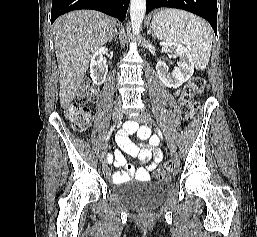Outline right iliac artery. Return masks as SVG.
Listing matches in <instances>:
<instances>
[{
  "label": "right iliac artery",
  "instance_id": "1",
  "mask_svg": "<svg viewBox=\"0 0 257 237\" xmlns=\"http://www.w3.org/2000/svg\"><path fill=\"white\" fill-rule=\"evenodd\" d=\"M114 128H115V126H113V127L109 130V132H108V134H107V136H106V138H105L106 141L109 140V138H110V136H111V134H112ZM121 132H122V131H121Z\"/></svg>",
  "mask_w": 257,
  "mask_h": 237
}]
</instances>
